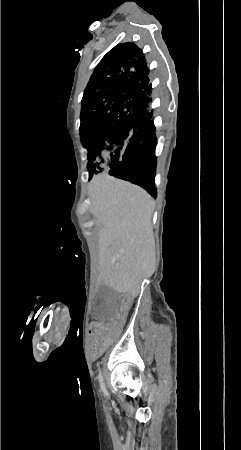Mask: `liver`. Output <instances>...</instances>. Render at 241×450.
<instances>
[{
  "label": "liver",
  "mask_w": 241,
  "mask_h": 450,
  "mask_svg": "<svg viewBox=\"0 0 241 450\" xmlns=\"http://www.w3.org/2000/svg\"><path fill=\"white\" fill-rule=\"evenodd\" d=\"M88 196L99 228V276L109 288L136 298L142 280L155 272V202L143 188L106 172L93 176Z\"/></svg>",
  "instance_id": "obj_1"
}]
</instances>
